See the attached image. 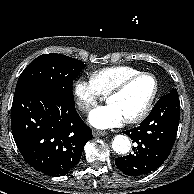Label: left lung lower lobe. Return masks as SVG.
Returning <instances> with one entry per match:
<instances>
[{
  "label": "left lung lower lobe",
  "instance_id": "1",
  "mask_svg": "<svg viewBox=\"0 0 194 194\" xmlns=\"http://www.w3.org/2000/svg\"><path fill=\"white\" fill-rule=\"evenodd\" d=\"M180 119L178 94L162 96L138 127L124 131L136 143L133 153L116 159L115 164L132 177L155 171L169 156Z\"/></svg>",
  "mask_w": 194,
  "mask_h": 194
}]
</instances>
